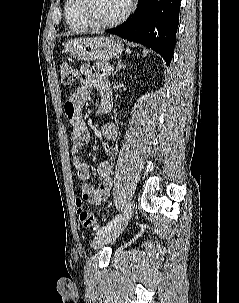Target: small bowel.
<instances>
[{
  "label": "small bowel",
  "mask_w": 239,
  "mask_h": 303,
  "mask_svg": "<svg viewBox=\"0 0 239 303\" xmlns=\"http://www.w3.org/2000/svg\"><path fill=\"white\" fill-rule=\"evenodd\" d=\"M81 85L64 105L65 115L70 124V135L73 142L72 152L74 154L73 164L80 181L82 197L90 204L100 205L105 202L110 194L113 184L111 174L112 165L109 161H102L97 166V174L101 178L97 187L89 181V166L84 162L80 154L84 147L90 142L91 135L82 119V109L87 103L92 90L98 93V108L101 112H107L112 107V96L108 81L101 75L95 74L89 66H82ZM102 135L107 143L118 140V129L114 124L108 123L102 127Z\"/></svg>",
  "instance_id": "obj_1"
}]
</instances>
